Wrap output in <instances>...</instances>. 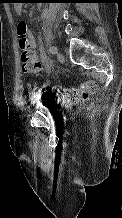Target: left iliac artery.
<instances>
[{
  "mask_svg": "<svg viewBox=\"0 0 122 218\" xmlns=\"http://www.w3.org/2000/svg\"><path fill=\"white\" fill-rule=\"evenodd\" d=\"M49 52H50L51 54H56V53H57V48H56L55 46H51V47L49 48ZM34 96H35V95H33V98H34Z\"/></svg>",
  "mask_w": 122,
  "mask_h": 218,
  "instance_id": "obj_1",
  "label": "left iliac artery"
}]
</instances>
